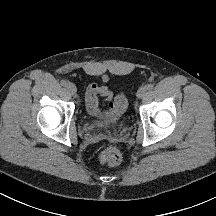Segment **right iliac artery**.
<instances>
[{"mask_svg":"<svg viewBox=\"0 0 216 216\" xmlns=\"http://www.w3.org/2000/svg\"><path fill=\"white\" fill-rule=\"evenodd\" d=\"M60 83H61L62 86H67L69 82L66 81V80H61Z\"/></svg>","mask_w":216,"mask_h":216,"instance_id":"82829eb1","label":"right iliac artery"}]
</instances>
